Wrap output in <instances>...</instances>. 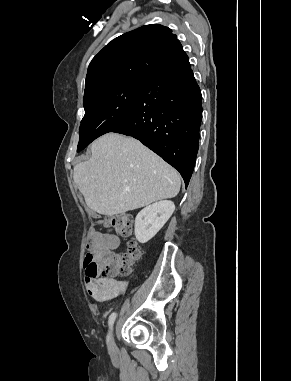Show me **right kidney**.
Returning a JSON list of instances; mask_svg holds the SVG:
<instances>
[{
  "label": "right kidney",
  "mask_w": 291,
  "mask_h": 381,
  "mask_svg": "<svg viewBox=\"0 0 291 381\" xmlns=\"http://www.w3.org/2000/svg\"><path fill=\"white\" fill-rule=\"evenodd\" d=\"M175 210L172 201L155 202L141 210L135 219V236L140 243H146L164 226Z\"/></svg>",
  "instance_id": "ca27d5eb"
}]
</instances>
